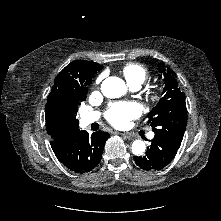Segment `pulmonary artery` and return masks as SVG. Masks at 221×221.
Listing matches in <instances>:
<instances>
[{
	"label": "pulmonary artery",
	"instance_id": "pulmonary-artery-1",
	"mask_svg": "<svg viewBox=\"0 0 221 221\" xmlns=\"http://www.w3.org/2000/svg\"><path fill=\"white\" fill-rule=\"evenodd\" d=\"M132 90H138L141 87V84L134 83L129 84ZM99 119V114L97 112H88L82 115V121L84 124H91ZM154 137V133L150 132L148 134V138L152 139Z\"/></svg>",
	"mask_w": 221,
	"mask_h": 221
}]
</instances>
